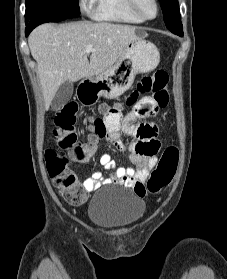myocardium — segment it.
I'll return each instance as SVG.
<instances>
[{
    "mask_svg": "<svg viewBox=\"0 0 227 279\" xmlns=\"http://www.w3.org/2000/svg\"><path fill=\"white\" fill-rule=\"evenodd\" d=\"M131 8L133 12L143 21H151L154 20L159 14V5L157 0H152L155 7V14L152 17H147L143 15L139 9V1L138 0H129Z\"/></svg>",
    "mask_w": 227,
    "mask_h": 279,
    "instance_id": "myocardium-1",
    "label": "myocardium"
}]
</instances>
